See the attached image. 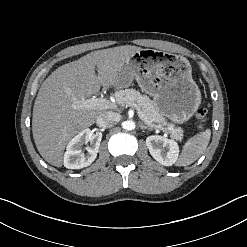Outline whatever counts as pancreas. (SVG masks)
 Instances as JSON below:
<instances>
[{
    "label": "pancreas",
    "instance_id": "cf45deb5",
    "mask_svg": "<svg viewBox=\"0 0 247 247\" xmlns=\"http://www.w3.org/2000/svg\"><path fill=\"white\" fill-rule=\"evenodd\" d=\"M114 96L121 106H129V103L138 105L147 120L161 126L166 124L165 118L159 113L154 102L147 95H142L139 91L131 88L119 90L115 92ZM169 133L177 140L182 139L183 135L180 129H173Z\"/></svg>",
    "mask_w": 247,
    "mask_h": 247
}]
</instances>
